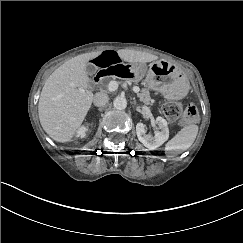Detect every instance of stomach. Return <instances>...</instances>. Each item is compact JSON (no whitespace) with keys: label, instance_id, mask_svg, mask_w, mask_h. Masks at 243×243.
Returning <instances> with one entry per match:
<instances>
[{"label":"stomach","instance_id":"1","mask_svg":"<svg viewBox=\"0 0 243 243\" xmlns=\"http://www.w3.org/2000/svg\"><path fill=\"white\" fill-rule=\"evenodd\" d=\"M131 69L136 78L145 76L149 89L162 93L168 99H181L188 93L187 77L164 60L152 62L148 68L144 64H133Z\"/></svg>","mask_w":243,"mask_h":243}]
</instances>
